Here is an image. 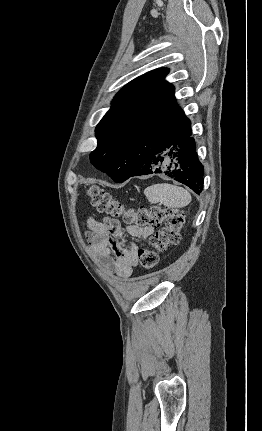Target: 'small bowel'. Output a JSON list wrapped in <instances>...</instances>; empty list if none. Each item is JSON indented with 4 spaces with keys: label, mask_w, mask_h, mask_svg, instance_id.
I'll return each instance as SVG.
<instances>
[{
    "label": "small bowel",
    "mask_w": 262,
    "mask_h": 431,
    "mask_svg": "<svg viewBox=\"0 0 262 431\" xmlns=\"http://www.w3.org/2000/svg\"><path fill=\"white\" fill-rule=\"evenodd\" d=\"M87 225V239L97 264L104 270H112L119 278H129L138 264L139 246L127 248L121 238L127 234L145 241L153 229L130 225L124 228L116 219L97 221L92 217L87 219Z\"/></svg>",
    "instance_id": "small-bowel-1"
}]
</instances>
